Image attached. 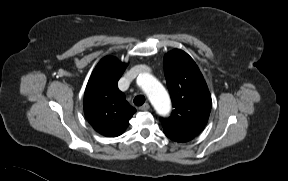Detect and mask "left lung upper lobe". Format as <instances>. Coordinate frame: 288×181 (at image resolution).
<instances>
[{
  "mask_svg": "<svg viewBox=\"0 0 288 181\" xmlns=\"http://www.w3.org/2000/svg\"><path fill=\"white\" fill-rule=\"evenodd\" d=\"M167 86L175 108L171 116L161 119L169 138L196 137L207 124L212 107L207 84L194 60L175 49L164 57Z\"/></svg>",
  "mask_w": 288,
  "mask_h": 181,
  "instance_id": "left-lung-upper-lobe-1",
  "label": "left lung upper lobe"
}]
</instances>
